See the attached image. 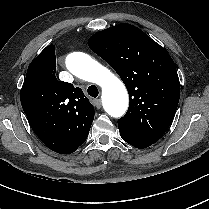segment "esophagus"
Segmentation results:
<instances>
[{
  "mask_svg": "<svg viewBox=\"0 0 209 209\" xmlns=\"http://www.w3.org/2000/svg\"><path fill=\"white\" fill-rule=\"evenodd\" d=\"M94 104L98 109H100L102 106L101 99L100 98L95 99Z\"/></svg>",
  "mask_w": 209,
  "mask_h": 209,
  "instance_id": "34e87169",
  "label": "esophagus"
}]
</instances>
